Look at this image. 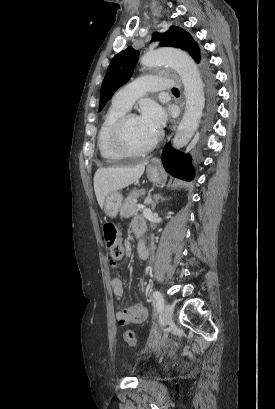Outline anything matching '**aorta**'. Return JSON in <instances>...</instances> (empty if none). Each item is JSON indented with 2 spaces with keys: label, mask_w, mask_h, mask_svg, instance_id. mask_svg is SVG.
Segmentation results:
<instances>
[{
  "label": "aorta",
  "mask_w": 275,
  "mask_h": 409,
  "mask_svg": "<svg viewBox=\"0 0 275 409\" xmlns=\"http://www.w3.org/2000/svg\"><path fill=\"white\" fill-rule=\"evenodd\" d=\"M141 62L148 66L160 64V62L169 64L181 76L186 106L173 138V146L175 148L186 146L199 126L205 102L203 80L197 64L187 52L177 50V48H159V50L151 51L148 56H142Z\"/></svg>",
  "instance_id": "obj_1"
}]
</instances>
